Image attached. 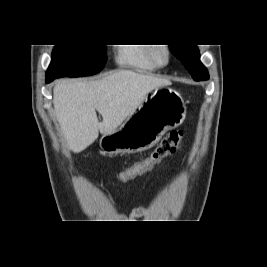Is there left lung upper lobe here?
I'll use <instances>...</instances> for the list:
<instances>
[{
  "instance_id": "left-lung-upper-lobe-1",
  "label": "left lung upper lobe",
  "mask_w": 267,
  "mask_h": 267,
  "mask_svg": "<svg viewBox=\"0 0 267 267\" xmlns=\"http://www.w3.org/2000/svg\"><path fill=\"white\" fill-rule=\"evenodd\" d=\"M170 49L195 81L209 79L207 69L200 62V54L196 45H170Z\"/></svg>"
}]
</instances>
